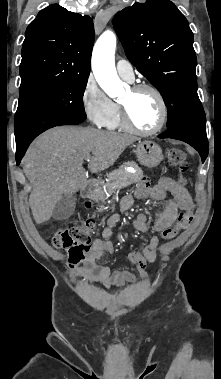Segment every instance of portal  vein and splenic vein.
<instances>
[{
    "label": "portal vein and splenic vein",
    "instance_id": "1",
    "mask_svg": "<svg viewBox=\"0 0 221 379\" xmlns=\"http://www.w3.org/2000/svg\"><path fill=\"white\" fill-rule=\"evenodd\" d=\"M85 160H86L87 162H90V158H89V157H88V158H86Z\"/></svg>",
    "mask_w": 221,
    "mask_h": 379
}]
</instances>
